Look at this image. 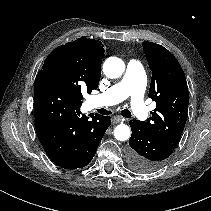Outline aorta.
<instances>
[{
    "mask_svg": "<svg viewBox=\"0 0 211 211\" xmlns=\"http://www.w3.org/2000/svg\"><path fill=\"white\" fill-rule=\"evenodd\" d=\"M125 71L124 62L117 57H109L103 64V72L108 78H118ZM131 130L126 124H119L114 129V137L119 141H126L130 138Z\"/></svg>",
    "mask_w": 211,
    "mask_h": 211,
    "instance_id": "obj_1",
    "label": "aorta"
}]
</instances>
